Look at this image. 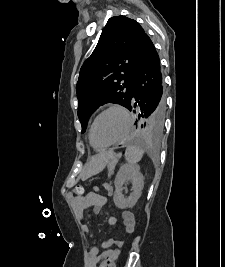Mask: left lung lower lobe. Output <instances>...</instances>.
Masks as SVG:
<instances>
[{"mask_svg": "<svg viewBox=\"0 0 225 267\" xmlns=\"http://www.w3.org/2000/svg\"><path fill=\"white\" fill-rule=\"evenodd\" d=\"M129 110L138 119L152 116L162 124L165 119L163 76L158 53L147 35L136 65Z\"/></svg>", "mask_w": 225, "mask_h": 267, "instance_id": "left-lung-lower-lobe-1", "label": "left lung lower lobe"}]
</instances>
